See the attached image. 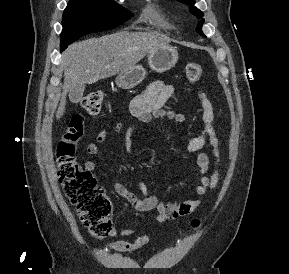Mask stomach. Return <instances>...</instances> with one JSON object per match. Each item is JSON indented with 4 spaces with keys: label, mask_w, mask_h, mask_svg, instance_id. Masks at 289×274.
I'll list each match as a JSON object with an SVG mask.
<instances>
[{
    "label": "stomach",
    "mask_w": 289,
    "mask_h": 274,
    "mask_svg": "<svg viewBox=\"0 0 289 274\" xmlns=\"http://www.w3.org/2000/svg\"><path fill=\"white\" fill-rule=\"evenodd\" d=\"M177 60V50L168 44L150 52L148 55L150 68L158 73L170 70L175 66ZM145 74L146 72L141 65H135L127 72L120 73L115 82L122 89H131L143 81Z\"/></svg>",
    "instance_id": "stomach-1"
}]
</instances>
